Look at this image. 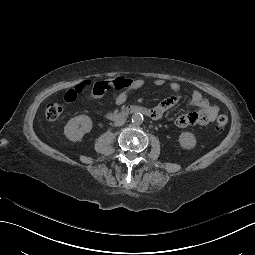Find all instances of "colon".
Masks as SVG:
<instances>
[{
    "mask_svg": "<svg viewBox=\"0 0 255 255\" xmlns=\"http://www.w3.org/2000/svg\"><path fill=\"white\" fill-rule=\"evenodd\" d=\"M117 84H119V81H116ZM63 112V108L60 104L56 103V102H52L49 103L46 106L45 109V116L48 120H56L57 118L60 117V115ZM228 123V116L225 113H221L217 119L216 122L214 124V129L217 132H221L222 130H224V128L226 127Z\"/></svg>",
    "mask_w": 255,
    "mask_h": 255,
    "instance_id": "5ec220e1",
    "label": "colon"
}]
</instances>
